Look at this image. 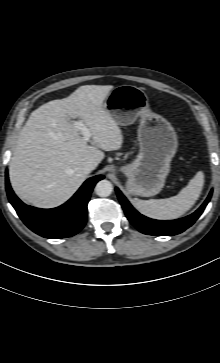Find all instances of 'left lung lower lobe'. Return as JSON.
I'll return each mask as SVG.
<instances>
[{"label": "left lung lower lobe", "instance_id": "1", "mask_svg": "<svg viewBox=\"0 0 220 363\" xmlns=\"http://www.w3.org/2000/svg\"><path fill=\"white\" fill-rule=\"evenodd\" d=\"M116 192L128 220L140 232L154 236L176 235L186 230L199 218V216L204 211L206 205L208 204L212 196V191H211L205 202L201 205V207L193 214L187 217L173 221H159L147 218L138 213L131 206V204L128 202V200L124 197V195L120 192L118 188H116Z\"/></svg>", "mask_w": 220, "mask_h": 363}]
</instances>
